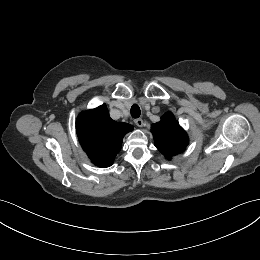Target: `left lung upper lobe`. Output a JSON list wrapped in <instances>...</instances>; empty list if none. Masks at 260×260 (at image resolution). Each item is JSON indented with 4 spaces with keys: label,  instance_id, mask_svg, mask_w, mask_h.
I'll list each match as a JSON object with an SVG mask.
<instances>
[{
    "label": "left lung upper lobe",
    "instance_id": "left-lung-upper-lobe-1",
    "mask_svg": "<svg viewBox=\"0 0 260 260\" xmlns=\"http://www.w3.org/2000/svg\"><path fill=\"white\" fill-rule=\"evenodd\" d=\"M152 134L156 148L167 157L180 154L188 145L187 134L171 112L152 124Z\"/></svg>",
    "mask_w": 260,
    "mask_h": 260
}]
</instances>
